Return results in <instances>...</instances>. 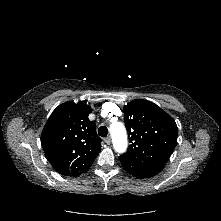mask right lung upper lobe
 Returning a JSON list of instances; mask_svg holds the SVG:
<instances>
[{"label": "right lung upper lobe", "instance_id": "1", "mask_svg": "<svg viewBox=\"0 0 221 221\" xmlns=\"http://www.w3.org/2000/svg\"><path fill=\"white\" fill-rule=\"evenodd\" d=\"M92 108L85 102L59 105L49 117L41 134V144L53 168L64 176L86 172L101 151L96 124L88 115Z\"/></svg>", "mask_w": 221, "mask_h": 221}]
</instances>
